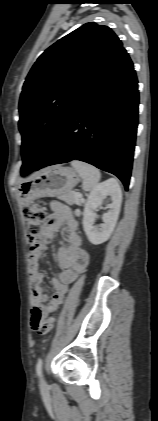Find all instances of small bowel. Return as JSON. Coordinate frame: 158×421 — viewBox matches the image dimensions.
<instances>
[{"label":"small bowel","mask_w":158,"mask_h":421,"mask_svg":"<svg viewBox=\"0 0 158 421\" xmlns=\"http://www.w3.org/2000/svg\"><path fill=\"white\" fill-rule=\"evenodd\" d=\"M64 227L68 244L60 246L56 253V263L60 269L52 280L54 294L48 302L47 293L43 287L44 275L40 269V260L49 240L54 239L56 232ZM89 263L88 253L81 247L78 233V221L68 207L62 204L53 206V213L43 224L40 240L36 248L31 249L29 267L31 274V324L35 329L44 316L53 314L63 301L68 285L78 274L85 270Z\"/></svg>","instance_id":"c3829d8e"}]
</instances>
